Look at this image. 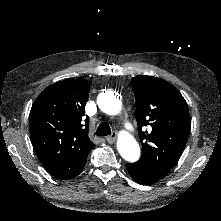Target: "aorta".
<instances>
[{
    "label": "aorta",
    "mask_w": 221,
    "mask_h": 221,
    "mask_svg": "<svg viewBox=\"0 0 221 221\" xmlns=\"http://www.w3.org/2000/svg\"><path fill=\"white\" fill-rule=\"evenodd\" d=\"M100 109L108 115H117L122 108V103L114 93L107 92L99 98ZM117 149L123 159L128 162H136L140 158V147L134 137L122 132L118 136Z\"/></svg>",
    "instance_id": "1"
}]
</instances>
